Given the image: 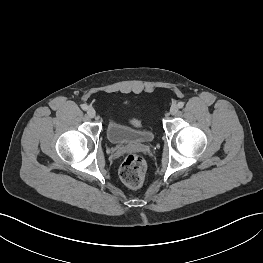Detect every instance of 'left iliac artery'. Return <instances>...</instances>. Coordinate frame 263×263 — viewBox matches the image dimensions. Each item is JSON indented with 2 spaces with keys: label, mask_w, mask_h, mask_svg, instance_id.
Listing matches in <instances>:
<instances>
[{
  "label": "left iliac artery",
  "mask_w": 263,
  "mask_h": 263,
  "mask_svg": "<svg viewBox=\"0 0 263 263\" xmlns=\"http://www.w3.org/2000/svg\"><path fill=\"white\" fill-rule=\"evenodd\" d=\"M183 106H184V102L180 101V102L178 103V107H179V108H183Z\"/></svg>",
  "instance_id": "obj_1"
}]
</instances>
